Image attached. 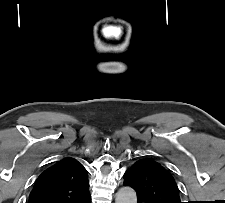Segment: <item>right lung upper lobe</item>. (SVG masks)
<instances>
[{
    "label": "right lung upper lobe",
    "mask_w": 225,
    "mask_h": 203,
    "mask_svg": "<svg viewBox=\"0 0 225 203\" xmlns=\"http://www.w3.org/2000/svg\"><path fill=\"white\" fill-rule=\"evenodd\" d=\"M88 172L73 158H64L38 177L28 203H84L89 198Z\"/></svg>",
    "instance_id": "obj_1"
}]
</instances>
